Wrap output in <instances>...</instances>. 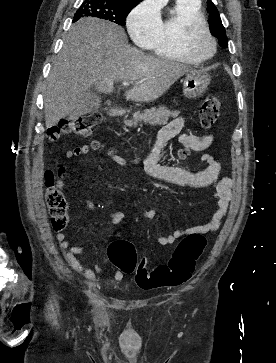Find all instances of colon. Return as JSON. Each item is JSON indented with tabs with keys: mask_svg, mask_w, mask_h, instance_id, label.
Listing matches in <instances>:
<instances>
[{
	"mask_svg": "<svg viewBox=\"0 0 276 363\" xmlns=\"http://www.w3.org/2000/svg\"><path fill=\"white\" fill-rule=\"evenodd\" d=\"M221 101L216 96H209L202 102L199 111V123L204 129L215 125L219 118ZM96 112L85 113L73 120H65L50 127L47 131L49 140H57L64 133L78 136H90L100 122ZM94 146H98L97 143ZM56 175L49 170L45 173L46 203L51 215V225L55 232L63 231L68 223V205L61 190L55 185ZM206 245L202 234L194 233L183 238L175 247L167 264L148 268L145 258L138 260L135 246L129 241H114L109 244L107 255L110 262L123 273L135 272L136 284L142 289L176 287L188 281L195 269V263Z\"/></svg>",
	"mask_w": 276,
	"mask_h": 363,
	"instance_id": "colon-1",
	"label": "colon"
}]
</instances>
